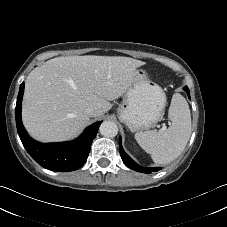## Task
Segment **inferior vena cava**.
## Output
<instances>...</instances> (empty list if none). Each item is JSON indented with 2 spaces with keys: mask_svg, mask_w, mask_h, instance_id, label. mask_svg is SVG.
Returning a JSON list of instances; mask_svg holds the SVG:
<instances>
[{
  "mask_svg": "<svg viewBox=\"0 0 227 227\" xmlns=\"http://www.w3.org/2000/svg\"><path fill=\"white\" fill-rule=\"evenodd\" d=\"M85 113L90 117H94L96 115V110L93 107H88L85 109Z\"/></svg>",
  "mask_w": 227,
  "mask_h": 227,
  "instance_id": "inferior-vena-cava-1",
  "label": "inferior vena cava"
}]
</instances>
